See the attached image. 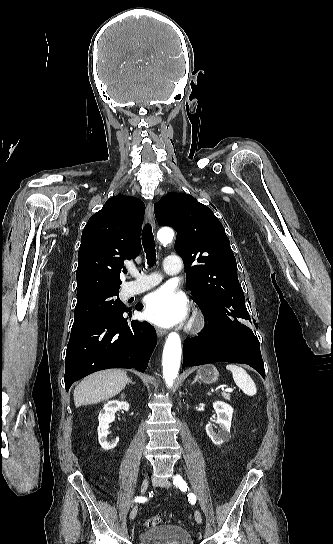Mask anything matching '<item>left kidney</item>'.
<instances>
[{
	"label": "left kidney",
	"mask_w": 333,
	"mask_h": 544,
	"mask_svg": "<svg viewBox=\"0 0 333 544\" xmlns=\"http://www.w3.org/2000/svg\"><path fill=\"white\" fill-rule=\"evenodd\" d=\"M213 408L216 412L217 418L215 424L220 426V431L217 433L214 431L215 424L208 423L206 425V433L216 445H220L231 438L230 428L232 422L233 408L221 401L213 403Z\"/></svg>",
	"instance_id": "obj_1"
}]
</instances>
